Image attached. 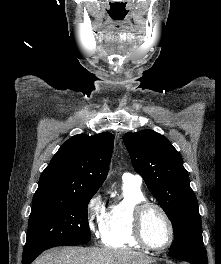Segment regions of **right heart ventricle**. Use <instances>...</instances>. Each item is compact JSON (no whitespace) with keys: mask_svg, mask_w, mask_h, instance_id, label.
<instances>
[{"mask_svg":"<svg viewBox=\"0 0 221 264\" xmlns=\"http://www.w3.org/2000/svg\"><path fill=\"white\" fill-rule=\"evenodd\" d=\"M146 201L141 187L134 183H123L122 198L112 203L105 213L101 232L102 244L111 248L138 249L131 228L132 211L140 202Z\"/></svg>","mask_w":221,"mask_h":264,"instance_id":"1","label":"right heart ventricle"}]
</instances>
